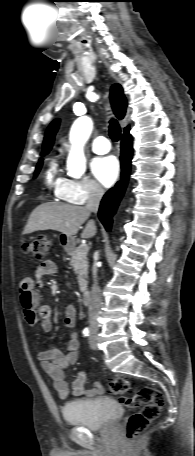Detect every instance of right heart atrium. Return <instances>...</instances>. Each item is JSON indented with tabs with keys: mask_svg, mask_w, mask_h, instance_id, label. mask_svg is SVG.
Segmentation results:
<instances>
[{
	"mask_svg": "<svg viewBox=\"0 0 195 456\" xmlns=\"http://www.w3.org/2000/svg\"><path fill=\"white\" fill-rule=\"evenodd\" d=\"M102 195L103 189L95 181L88 178L80 180L67 179L61 190L63 200L77 205L97 200Z\"/></svg>",
	"mask_w": 195,
	"mask_h": 456,
	"instance_id": "right-heart-atrium-1",
	"label": "right heart atrium"
}]
</instances>
